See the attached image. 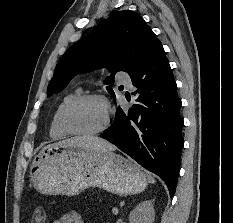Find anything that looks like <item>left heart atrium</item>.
<instances>
[{"mask_svg":"<svg viewBox=\"0 0 233 223\" xmlns=\"http://www.w3.org/2000/svg\"><path fill=\"white\" fill-rule=\"evenodd\" d=\"M105 109H106V111H107V106L105 105Z\"/></svg>","mask_w":233,"mask_h":223,"instance_id":"obj_1","label":"left heart atrium"}]
</instances>
